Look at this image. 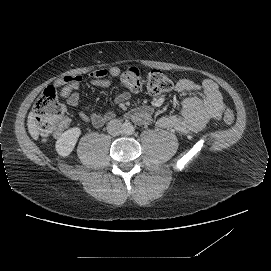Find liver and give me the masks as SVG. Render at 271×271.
Masks as SVG:
<instances>
[{"mask_svg": "<svg viewBox=\"0 0 271 271\" xmlns=\"http://www.w3.org/2000/svg\"><path fill=\"white\" fill-rule=\"evenodd\" d=\"M27 126H28V131H29L31 137L34 140H37L39 137V131L37 128V124L35 122L34 113L32 111L28 115Z\"/></svg>", "mask_w": 271, "mask_h": 271, "instance_id": "obj_1", "label": "liver"}]
</instances>
